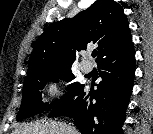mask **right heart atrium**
<instances>
[{"mask_svg":"<svg viewBox=\"0 0 153 134\" xmlns=\"http://www.w3.org/2000/svg\"><path fill=\"white\" fill-rule=\"evenodd\" d=\"M48 93L51 96H55L59 92L58 84L56 82H51L47 87Z\"/></svg>","mask_w":153,"mask_h":134,"instance_id":"d8ad5b80","label":"right heart atrium"}]
</instances>
